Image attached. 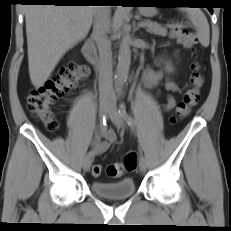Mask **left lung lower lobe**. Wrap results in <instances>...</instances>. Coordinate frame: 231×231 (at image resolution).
Segmentation results:
<instances>
[{
	"instance_id": "0a47b994",
	"label": "left lung lower lobe",
	"mask_w": 231,
	"mask_h": 231,
	"mask_svg": "<svg viewBox=\"0 0 231 231\" xmlns=\"http://www.w3.org/2000/svg\"><path fill=\"white\" fill-rule=\"evenodd\" d=\"M208 9H209V11H210L211 13H213V8H212V7H208Z\"/></svg>"
}]
</instances>
